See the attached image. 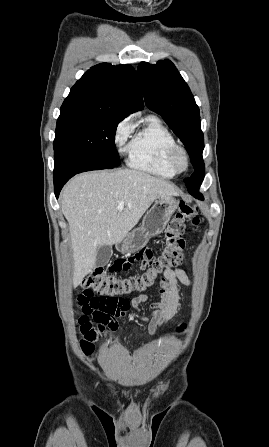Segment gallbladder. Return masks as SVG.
Returning a JSON list of instances; mask_svg holds the SVG:
<instances>
[{
    "label": "gallbladder",
    "mask_w": 269,
    "mask_h": 447,
    "mask_svg": "<svg viewBox=\"0 0 269 447\" xmlns=\"http://www.w3.org/2000/svg\"><path fill=\"white\" fill-rule=\"evenodd\" d=\"M112 253L111 245H101L96 253V265H106Z\"/></svg>",
    "instance_id": "gallbladder-1"
}]
</instances>
